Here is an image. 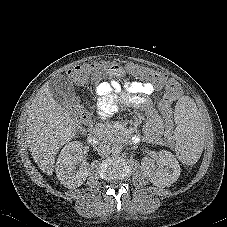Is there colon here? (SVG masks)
<instances>
[{
    "label": "colon",
    "mask_w": 227,
    "mask_h": 227,
    "mask_svg": "<svg viewBox=\"0 0 227 227\" xmlns=\"http://www.w3.org/2000/svg\"><path fill=\"white\" fill-rule=\"evenodd\" d=\"M97 64H85L82 66H77L72 68L68 72L69 80L75 85H83L86 83L88 75L97 69H99ZM128 72L133 77H138L139 79L147 82H153L157 85H163L167 89V95L164 101L160 102L158 109L161 119H163L162 124L164 126V141L168 149L174 150L177 148V141L175 139V123L172 120L175 111L171 104V101L178 98L181 94L180 85L174 81L167 79V77L153 69H147L145 67H139L133 64L129 67ZM70 111L76 118L80 127L87 129L89 126V112L87 109L79 104L78 102H73L70 105Z\"/></svg>",
    "instance_id": "5ec220e1"
}]
</instances>
